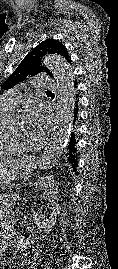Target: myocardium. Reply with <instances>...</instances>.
<instances>
[{
    "label": "myocardium",
    "mask_w": 118,
    "mask_h": 269,
    "mask_svg": "<svg viewBox=\"0 0 118 269\" xmlns=\"http://www.w3.org/2000/svg\"><path fill=\"white\" fill-rule=\"evenodd\" d=\"M11 134H12L13 138L16 139V140H18L19 143L22 145V149L24 148V146H29V147L32 146L31 144H29V143L24 139V137L15 134V133L13 132V130L11 131Z\"/></svg>",
    "instance_id": "f54148a6"
}]
</instances>
